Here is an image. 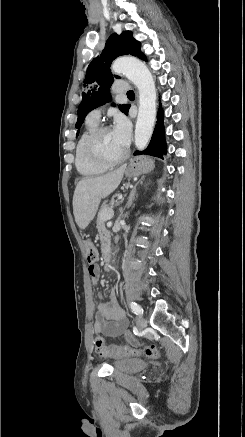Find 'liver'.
<instances>
[{"instance_id": "1", "label": "liver", "mask_w": 245, "mask_h": 437, "mask_svg": "<svg viewBox=\"0 0 245 437\" xmlns=\"http://www.w3.org/2000/svg\"><path fill=\"white\" fill-rule=\"evenodd\" d=\"M126 166L98 177H86L80 180L73 195V214L80 230H84L94 219L99 204L120 184Z\"/></svg>"}]
</instances>
